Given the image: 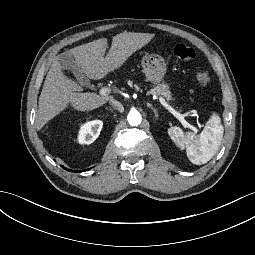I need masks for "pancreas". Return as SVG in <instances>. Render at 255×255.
I'll use <instances>...</instances> for the list:
<instances>
[{"label": "pancreas", "mask_w": 255, "mask_h": 255, "mask_svg": "<svg viewBox=\"0 0 255 255\" xmlns=\"http://www.w3.org/2000/svg\"><path fill=\"white\" fill-rule=\"evenodd\" d=\"M129 86H134L136 88V90H139V87H137L136 85H133L132 82H128ZM148 94H153V95H158V96H162L165 100L170 101L171 100V95L169 90L167 89V86L165 84H161L156 86L154 89L150 90L148 92Z\"/></svg>", "instance_id": "pancreas-1"}]
</instances>
